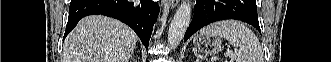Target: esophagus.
Segmentation results:
<instances>
[{
    "mask_svg": "<svg viewBox=\"0 0 331 62\" xmlns=\"http://www.w3.org/2000/svg\"><path fill=\"white\" fill-rule=\"evenodd\" d=\"M163 2H168L169 5H170L172 8H174V7H176V6L178 5L179 0H163Z\"/></svg>",
    "mask_w": 331,
    "mask_h": 62,
    "instance_id": "esophagus-1",
    "label": "esophagus"
}]
</instances>
